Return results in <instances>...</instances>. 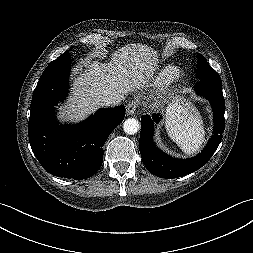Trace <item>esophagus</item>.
I'll return each mask as SVG.
<instances>
[{
    "mask_svg": "<svg viewBox=\"0 0 253 253\" xmlns=\"http://www.w3.org/2000/svg\"><path fill=\"white\" fill-rule=\"evenodd\" d=\"M137 106H138V105H137L136 102H134V101L129 102V103L127 104V106H126V114H127L128 116L133 115V114L135 113V111H136Z\"/></svg>",
    "mask_w": 253,
    "mask_h": 253,
    "instance_id": "1",
    "label": "esophagus"
}]
</instances>
